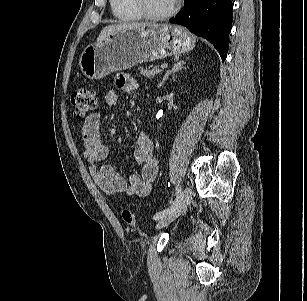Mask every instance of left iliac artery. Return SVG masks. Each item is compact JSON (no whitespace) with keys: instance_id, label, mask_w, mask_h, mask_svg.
Masks as SVG:
<instances>
[{"instance_id":"left-iliac-artery-1","label":"left iliac artery","mask_w":307,"mask_h":301,"mask_svg":"<svg viewBox=\"0 0 307 301\" xmlns=\"http://www.w3.org/2000/svg\"><path fill=\"white\" fill-rule=\"evenodd\" d=\"M181 197H182V189H181V186L177 185L176 186V199L173 202V204L170 207H168L167 209H165L163 211H160V212H157L153 216V219L154 220H159V219L163 218L166 214H168L171 211H173L176 208V206L178 205V203L180 202Z\"/></svg>"}]
</instances>
